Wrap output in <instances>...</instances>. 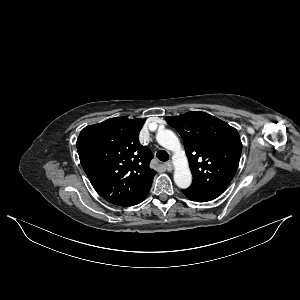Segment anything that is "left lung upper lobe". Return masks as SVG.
<instances>
[{"mask_svg": "<svg viewBox=\"0 0 300 300\" xmlns=\"http://www.w3.org/2000/svg\"><path fill=\"white\" fill-rule=\"evenodd\" d=\"M181 135L193 182L189 188L221 195L232 181L241 156L237 130L205 112L166 117Z\"/></svg>", "mask_w": 300, "mask_h": 300, "instance_id": "1", "label": "left lung upper lobe"}]
</instances>
